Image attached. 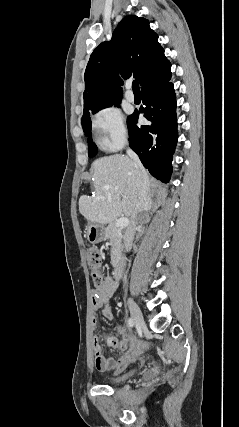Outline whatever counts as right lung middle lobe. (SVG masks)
Returning a JSON list of instances; mask_svg holds the SVG:
<instances>
[{"label":"right lung middle lobe","mask_w":239,"mask_h":427,"mask_svg":"<svg viewBox=\"0 0 239 427\" xmlns=\"http://www.w3.org/2000/svg\"><path fill=\"white\" fill-rule=\"evenodd\" d=\"M119 103L120 102H116V103L107 104V105H104V106H101V107L93 108L92 109V113L94 114L98 110H100L102 108L109 107V106L114 105V104L116 106H119ZM91 123L92 122H91V118H90V114L89 113H87L85 116L82 117V127H83V130H84L86 136H89V138H88V156L90 158L94 157L97 154V151H98L96 145L92 142V138H91V135H90V132H91Z\"/></svg>","instance_id":"1"}]
</instances>
